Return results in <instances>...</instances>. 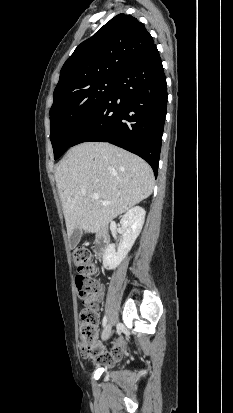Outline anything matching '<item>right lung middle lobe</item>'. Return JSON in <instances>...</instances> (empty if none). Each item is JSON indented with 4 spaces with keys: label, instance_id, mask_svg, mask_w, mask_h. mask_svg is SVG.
<instances>
[{
    "label": "right lung middle lobe",
    "instance_id": "1",
    "mask_svg": "<svg viewBox=\"0 0 233 413\" xmlns=\"http://www.w3.org/2000/svg\"><path fill=\"white\" fill-rule=\"evenodd\" d=\"M114 87V78L97 80L53 102L50 139L58 159L94 118Z\"/></svg>",
    "mask_w": 233,
    "mask_h": 413
}]
</instances>
